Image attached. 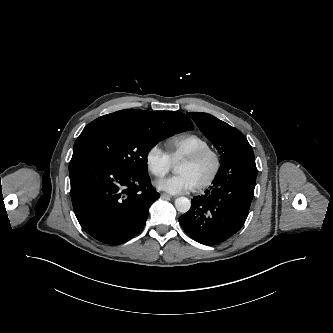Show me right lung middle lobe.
<instances>
[{"instance_id":"obj_1","label":"right lung middle lobe","mask_w":333,"mask_h":333,"mask_svg":"<svg viewBox=\"0 0 333 333\" xmlns=\"http://www.w3.org/2000/svg\"><path fill=\"white\" fill-rule=\"evenodd\" d=\"M184 131L180 126H147L136 122L100 117L88 124L74 144L101 156L118 168L146 175L147 155L160 140Z\"/></svg>"}]
</instances>
